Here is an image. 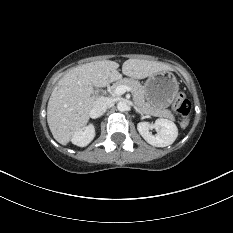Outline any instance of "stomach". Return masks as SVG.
<instances>
[{
  "instance_id": "stomach-1",
  "label": "stomach",
  "mask_w": 233,
  "mask_h": 233,
  "mask_svg": "<svg viewBox=\"0 0 233 233\" xmlns=\"http://www.w3.org/2000/svg\"><path fill=\"white\" fill-rule=\"evenodd\" d=\"M144 90L148 103L162 109L169 107L175 100L179 83L173 73L161 71L147 78Z\"/></svg>"
}]
</instances>
